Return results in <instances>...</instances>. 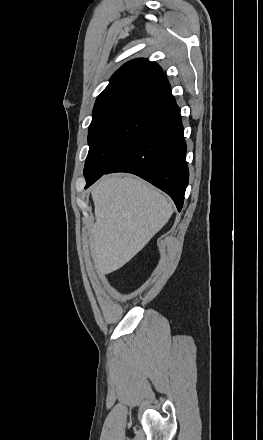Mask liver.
Wrapping results in <instances>:
<instances>
[{"instance_id": "liver-1", "label": "liver", "mask_w": 263, "mask_h": 440, "mask_svg": "<svg viewBox=\"0 0 263 440\" xmlns=\"http://www.w3.org/2000/svg\"><path fill=\"white\" fill-rule=\"evenodd\" d=\"M96 222L90 232L93 261L100 275L129 262L170 219L172 203L132 176L101 178L92 189Z\"/></svg>"}]
</instances>
